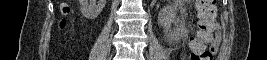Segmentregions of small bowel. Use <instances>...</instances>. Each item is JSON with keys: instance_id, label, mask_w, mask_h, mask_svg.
Wrapping results in <instances>:
<instances>
[{"instance_id": "small-bowel-1", "label": "small bowel", "mask_w": 267, "mask_h": 60, "mask_svg": "<svg viewBox=\"0 0 267 60\" xmlns=\"http://www.w3.org/2000/svg\"><path fill=\"white\" fill-rule=\"evenodd\" d=\"M208 44L213 49V52L218 50L220 44V31L217 23H214L210 31L208 32Z\"/></svg>"}]
</instances>
